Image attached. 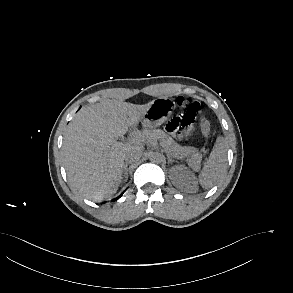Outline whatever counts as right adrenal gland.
Returning a JSON list of instances; mask_svg holds the SVG:
<instances>
[{"label": "right adrenal gland", "instance_id": "obj_1", "mask_svg": "<svg viewBox=\"0 0 293 293\" xmlns=\"http://www.w3.org/2000/svg\"><path fill=\"white\" fill-rule=\"evenodd\" d=\"M123 174H124L125 180H127V178H128V163H126L123 167Z\"/></svg>", "mask_w": 293, "mask_h": 293}]
</instances>
